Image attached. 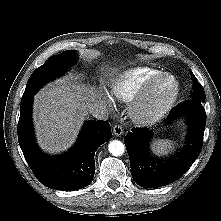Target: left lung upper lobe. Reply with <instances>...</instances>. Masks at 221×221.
<instances>
[{
  "label": "left lung upper lobe",
  "instance_id": "1",
  "mask_svg": "<svg viewBox=\"0 0 221 221\" xmlns=\"http://www.w3.org/2000/svg\"><path fill=\"white\" fill-rule=\"evenodd\" d=\"M192 77L194 79V88L195 91L192 94V99L191 100H196L198 102L203 103L205 101V93H204V89L202 87V85L200 83H198V80L196 79V77L192 74Z\"/></svg>",
  "mask_w": 221,
  "mask_h": 221
}]
</instances>
